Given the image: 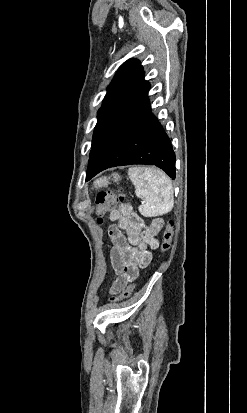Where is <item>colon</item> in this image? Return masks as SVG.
I'll return each instance as SVG.
<instances>
[{"mask_svg": "<svg viewBox=\"0 0 247 413\" xmlns=\"http://www.w3.org/2000/svg\"><path fill=\"white\" fill-rule=\"evenodd\" d=\"M122 196L120 193H113L109 191L100 192L96 197V206H97V223L102 224L104 221V215L109 211L115 210L117 205L121 202ZM173 223L169 222L167 228L164 230L162 234V240L159 245V249L161 251H167L171 245L172 239V231ZM113 239H111L112 241ZM137 276L135 277V279ZM134 288V284H131L127 287L126 293H119L118 298H110V303L117 304L120 300L128 298L132 290Z\"/></svg>", "mask_w": 247, "mask_h": 413, "instance_id": "obj_1", "label": "colon"}]
</instances>
